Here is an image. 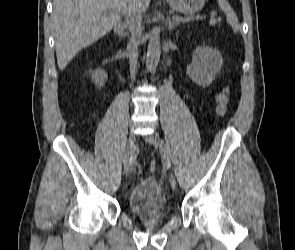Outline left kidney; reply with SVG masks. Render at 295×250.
Segmentation results:
<instances>
[{
	"mask_svg": "<svg viewBox=\"0 0 295 250\" xmlns=\"http://www.w3.org/2000/svg\"><path fill=\"white\" fill-rule=\"evenodd\" d=\"M222 56L216 49L207 46L198 47L192 56V63L186 73L196 84L209 86L222 66Z\"/></svg>",
	"mask_w": 295,
	"mask_h": 250,
	"instance_id": "5707ae66",
	"label": "left kidney"
}]
</instances>
